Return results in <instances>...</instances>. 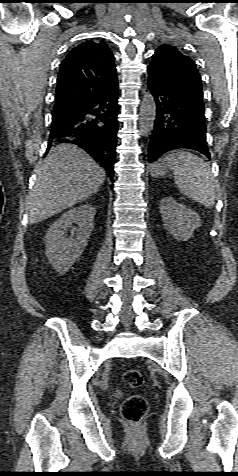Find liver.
<instances>
[{
	"label": "liver",
	"mask_w": 238,
	"mask_h": 476,
	"mask_svg": "<svg viewBox=\"0 0 238 476\" xmlns=\"http://www.w3.org/2000/svg\"><path fill=\"white\" fill-rule=\"evenodd\" d=\"M36 174L35 186L26 202L30 224L86 200L106 178L105 171L93 158L72 144L52 148Z\"/></svg>",
	"instance_id": "1"
}]
</instances>
